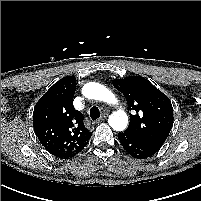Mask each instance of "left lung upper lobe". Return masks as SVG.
<instances>
[{
    "mask_svg": "<svg viewBox=\"0 0 201 201\" xmlns=\"http://www.w3.org/2000/svg\"><path fill=\"white\" fill-rule=\"evenodd\" d=\"M113 86L125 96L128 110L135 111L126 131L159 150L173 126L170 99L141 76L114 79Z\"/></svg>",
    "mask_w": 201,
    "mask_h": 201,
    "instance_id": "left-lung-upper-lobe-1",
    "label": "left lung upper lobe"
}]
</instances>
